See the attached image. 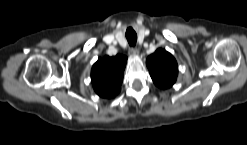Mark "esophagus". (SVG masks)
Wrapping results in <instances>:
<instances>
[{
  "label": "esophagus",
  "mask_w": 247,
  "mask_h": 145,
  "mask_svg": "<svg viewBox=\"0 0 247 145\" xmlns=\"http://www.w3.org/2000/svg\"><path fill=\"white\" fill-rule=\"evenodd\" d=\"M138 54H139V50H138L137 48L131 47V48L129 49V55H131V56H136V55H138Z\"/></svg>",
  "instance_id": "34e87169"
}]
</instances>
